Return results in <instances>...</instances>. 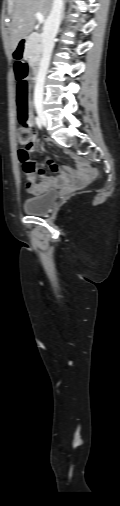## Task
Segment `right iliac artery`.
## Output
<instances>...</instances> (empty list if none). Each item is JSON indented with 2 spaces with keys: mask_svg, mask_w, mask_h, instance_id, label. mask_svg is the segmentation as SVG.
Listing matches in <instances>:
<instances>
[{
  "mask_svg": "<svg viewBox=\"0 0 120 506\" xmlns=\"http://www.w3.org/2000/svg\"><path fill=\"white\" fill-rule=\"evenodd\" d=\"M35 122H36L37 126H38L39 128H41V126H42V122H41V119H40L39 117H35Z\"/></svg>",
  "mask_w": 120,
  "mask_h": 506,
  "instance_id": "right-iliac-artery-1",
  "label": "right iliac artery"
}]
</instances>
